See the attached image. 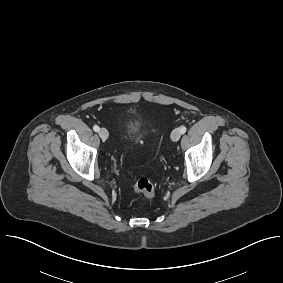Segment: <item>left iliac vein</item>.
I'll return each instance as SVG.
<instances>
[{
    "instance_id": "obj_1",
    "label": "left iliac vein",
    "mask_w": 283,
    "mask_h": 283,
    "mask_svg": "<svg viewBox=\"0 0 283 283\" xmlns=\"http://www.w3.org/2000/svg\"><path fill=\"white\" fill-rule=\"evenodd\" d=\"M181 137L180 129L176 128L171 132V140L177 142Z\"/></svg>"
}]
</instances>
